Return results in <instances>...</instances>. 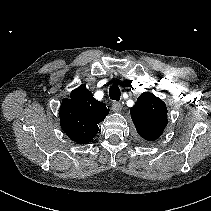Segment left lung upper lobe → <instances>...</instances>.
Wrapping results in <instances>:
<instances>
[{
    "instance_id": "1",
    "label": "left lung upper lobe",
    "mask_w": 211,
    "mask_h": 211,
    "mask_svg": "<svg viewBox=\"0 0 211 211\" xmlns=\"http://www.w3.org/2000/svg\"><path fill=\"white\" fill-rule=\"evenodd\" d=\"M130 113L138 134L148 141L158 139L168 123L165 103L150 92L139 96Z\"/></svg>"
}]
</instances>
